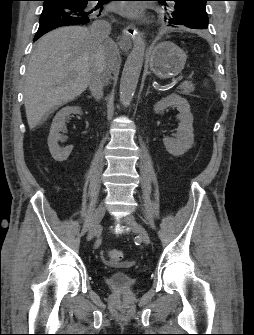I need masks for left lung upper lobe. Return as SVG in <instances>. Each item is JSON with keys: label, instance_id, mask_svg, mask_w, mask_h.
<instances>
[{"label": "left lung upper lobe", "instance_id": "5c2ea615", "mask_svg": "<svg viewBox=\"0 0 254 335\" xmlns=\"http://www.w3.org/2000/svg\"><path fill=\"white\" fill-rule=\"evenodd\" d=\"M166 10L169 26H186L192 29L208 28L206 2L208 0H158Z\"/></svg>", "mask_w": 254, "mask_h": 335}]
</instances>
